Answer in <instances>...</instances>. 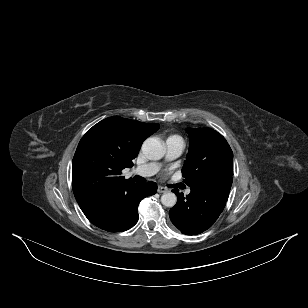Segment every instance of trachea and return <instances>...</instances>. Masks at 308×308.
I'll list each match as a JSON object with an SVG mask.
<instances>
[{"label": "trachea", "instance_id": "trachea-1", "mask_svg": "<svg viewBox=\"0 0 308 308\" xmlns=\"http://www.w3.org/2000/svg\"><path fill=\"white\" fill-rule=\"evenodd\" d=\"M134 181H135V182H138V183H143V182H144V179H143L142 177H140V176H135V177H134Z\"/></svg>", "mask_w": 308, "mask_h": 308}]
</instances>
